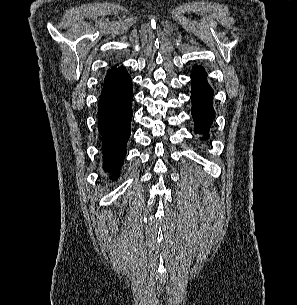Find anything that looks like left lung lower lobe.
<instances>
[{"label": "left lung lower lobe", "instance_id": "1", "mask_svg": "<svg viewBox=\"0 0 297 305\" xmlns=\"http://www.w3.org/2000/svg\"><path fill=\"white\" fill-rule=\"evenodd\" d=\"M207 73L202 66L192 69V115L195 121V131L208 137V130L215 116L213 110V90L207 83Z\"/></svg>", "mask_w": 297, "mask_h": 305}]
</instances>
